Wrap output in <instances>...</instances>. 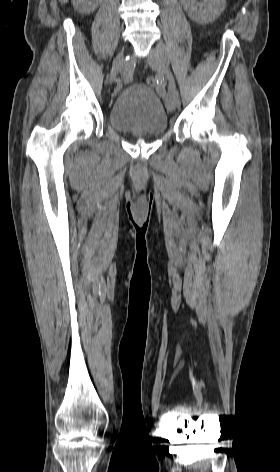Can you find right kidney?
<instances>
[{"label":"right kidney","mask_w":280,"mask_h":472,"mask_svg":"<svg viewBox=\"0 0 280 472\" xmlns=\"http://www.w3.org/2000/svg\"><path fill=\"white\" fill-rule=\"evenodd\" d=\"M101 0H74V7L82 14H90L96 10Z\"/></svg>","instance_id":"1"}]
</instances>
